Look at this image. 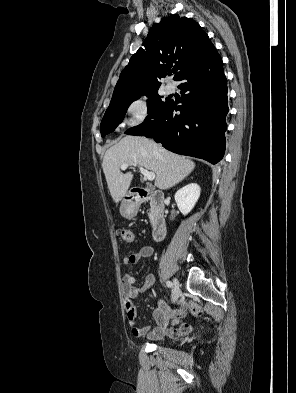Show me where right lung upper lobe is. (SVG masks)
I'll return each instance as SVG.
<instances>
[{
	"label": "right lung upper lobe",
	"instance_id": "cb5924a9",
	"mask_svg": "<svg viewBox=\"0 0 296 393\" xmlns=\"http://www.w3.org/2000/svg\"><path fill=\"white\" fill-rule=\"evenodd\" d=\"M213 44L192 19L171 15L154 24L143 48L131 57L121 72L111 101L132 97L156 89L160 79L172 68L177 80L195 64Z\"/></svg>",
	"mask_w": 296,
	"mask_h": 393
}]
</instances>
